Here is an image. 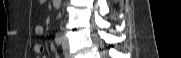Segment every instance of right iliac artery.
Instances as JSON below:
<instances>
[{"label": "right iliac artery", "mask_w": 181, "mask_h": 58, "mask_svg": "<svg viewBox=\"0 0 181 58\" xmlns=\"http://www.w3.org/2000/svg\"><path fill=\"white\" fill-rule=\"evenodd\" d=\"M55 42L57 45H61L63 42V36L60 34H57L56 38H55Z\"/></svg>", "instance_id": "82829eb1"}]
</instances>
